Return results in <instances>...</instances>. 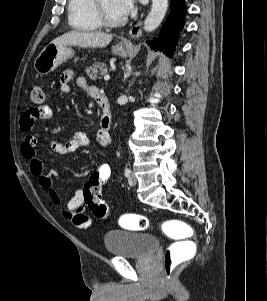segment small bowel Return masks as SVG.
I'll return each mask as SVG.
<instances>
[{"label":"small bowel","mask_w":267,"mask_h":301,"mask_svg":"<svg viewBox=\"0 0 267 301\" xmlns=\"http://www.w3.org/2000/svg\"><path fill=\"white\" fill-rule=\"evenodd\" d=\"M74 78V72L71 69H66L60 76V93L67 96L71 92L70 81ZM77 86L85 91L88 95L94 98L98 88L90 85L86 78L78 77L76 79ZM53 117L52 109L49 106L31 107L21 114L20 130L25 133V138L21 144V154L29 161V168L34 177L37 178L39 185L48 192L49 198L54 204H60L61 199L54 187L53 176L55 172H45L41 160L37 155V136L33 132V127L36 120H49ZM97 144L100 147H106L110 141V135L103 129L97 132ZM90 144V140L85 132H77L67 142L59 141L51 142V149L62 155H68L76 152L79 148ZM85 201L83 188L78 186L69 199L66 206L62 210V216L71 221V223L79 229H86L91 225V218L84 214Z\"/></svg>","instance_id":"1"}]
</instances>
